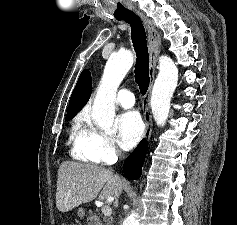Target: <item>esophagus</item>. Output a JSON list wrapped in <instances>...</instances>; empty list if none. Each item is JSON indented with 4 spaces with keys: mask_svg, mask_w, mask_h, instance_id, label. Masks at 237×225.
Instances as JSON below:
<instances>
[{
    "mask_svg": "<svg viewBox=\"0 0 237 225\" xmlns=\"http://www.w3.org/2000/svg\"><path fill=\"white\" fill-rule=\"evenodd\" d=\"M135 13L141 18L143 21L149 35V77H150V84L148 87L147 94L145 95L143 102H142V109H143V116L145 119V133L144 138L146 141L150 140L151 133H152V123L150 120L147 119V112L150 105V95L153 87V83L155 80V69H156V62H157V55L159 53L160 45H161V37L153 21L147 18L143 13L139 11H135Z\"/></svg>",
    "mask_w": 237,
    "mask_h": 225,
    "instance_id": "esophagus-1",
    "label": "esophagus"
}]
</instances>
